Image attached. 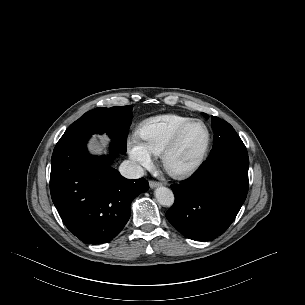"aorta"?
I'll list each match as a JSON object with an SVG mask.
<instances>
[{
  "instance_id": "obj_1",
  "label": "aorta",
  "mask_w": 305,
  "mask_h": 305,
  "mask_svg": "<svg viewBox=\"0 0 305 305\" xmlns=\"http://www.w3.org/2000/svg\"><path fill=\"white\" fill-rule=\"evenodd\" d=\"M155 197L162 206L170 207L174 203V194L172 190L167 187H158L155 190Z\"/></svg>"
}]
</instances>
